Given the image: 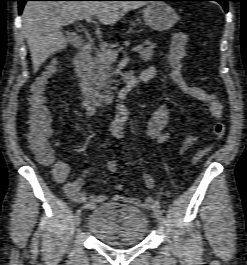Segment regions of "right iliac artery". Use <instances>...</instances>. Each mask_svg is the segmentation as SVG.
<instances>
[{
	"instance_id": "82829eb1",
	"label": "right iliac artery",
	"mask_w": 247,
	"mask_h": 265,
	"mask_svg": "<svg viewBox=\"0 0 247 265\" xmlns=\"http://www.w3.org/2000/svg\"><path fill=\"white\" fill-rule=\"evenodd\" d=\"M96 205L94 203H86L82 205V209H93Z\"/></svg>"
}]
</instances>
